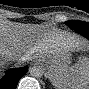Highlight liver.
<instances>
[{
    "label": "liver",
    "instance_id": "liver-1",
    "mask_svg": "<svg viewBox=\"0 0 89 89\" xmlns=\"http://www.w3.org/2000/svg\"><path fill=\"white\" fill-rule=\"evenodd\" d=\"M81 45L66 40L55 31H47L39 25L4 23L0 27L1 63L10 52L15 60L24 61L26 56L44 58L47 54L75 51Z\"/></svg>",
    "mask_w": 89,
    "mask_h": 89
}]
</instances>
